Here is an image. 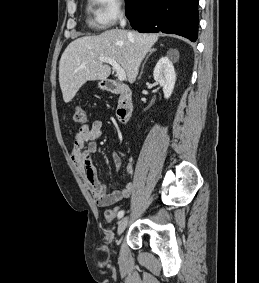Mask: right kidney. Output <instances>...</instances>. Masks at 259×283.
Wrapping results in <instances>:
<instances>
[{
    "instance_id": "right-kidney-1",
    "label": "right kidney",
    "mask_w": 259,
    "mask_h": 283,
    "mask_svg": "<svg viewBox=\"0 0 259 283\" xmlns=\"http://www.w3.org/2000/svg\"><path fill=\"white\" fill-rule=\"evenodd\" d=\"M154 80L163 88L164 97L168 99L174 89L176 73L172 61L162 57L156 64L153 72Z\"/></svg>"
}]
</instances>
